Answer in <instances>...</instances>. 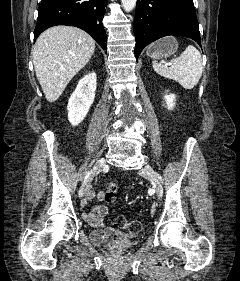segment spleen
Listing matches in <instances>:
<instances>
[{
	"mask_svg": "<svg viewBox=\"0 0 240 281\" xmlns=\"http://www.w3.org/2000/svg\"><path fill=\"white\" fill-rule=\"evenodd\" d=\"M156 59V53L153 54ZM172 66L168 63L153 61V69L159 75L175 80L184 89H193L199 82L202 73V57L200 52L192 45H189L185 51L177 58L171 60Z\"/></svg>",
	"mask_w": 240,
	"mask_h": 281,
	"instance_id": "obj_1",
	"label": "spleen"
}]
</instances>
